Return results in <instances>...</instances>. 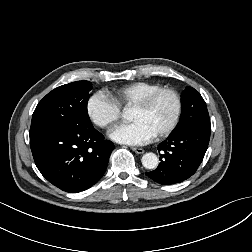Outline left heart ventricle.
<instances>
[{
  "label": "left heart ventricle",
  "mask_w": 252,
  "mask_h": 252,
  "mask_svg": "<svg viewBox=\"0 0 252 252\" xmlns=\"http://www.w3.org/2000/svg\"><path fill=\"white\" fill-rule=\"evenodd\" d=\"M175 107L174 97L169 93H164L148 109L133 108L131 119L145 122L155 133H158L172 120Z\"/></svg>",
  "instance_id": "obj_1"
}]
</instances>
